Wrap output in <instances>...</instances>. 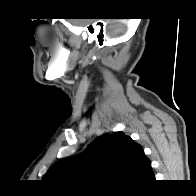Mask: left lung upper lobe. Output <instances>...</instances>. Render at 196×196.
<instances>
[{
    "mask_svg": "<svg viewBox=\"0 0 196 196\" xmlns=\"http://www.w3.org/2000/svg\"><path fill=\"white\" fill-rule=\"evenodd\" d=\"M150 160L141 145L123 132L96 138L82 153L60 160L42 180L51 185L134 184Z\"/></svg>",
    "mask_w": 196,
    "mask_h": 196,
    "instance_id": "1",
    "label": "left lung upper lobe"
}]
</instances>
